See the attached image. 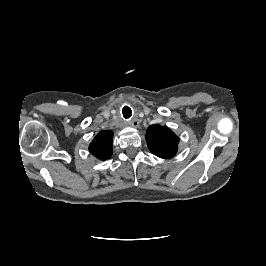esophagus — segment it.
I'll return each instance as SVG.
<instances>
[{
  "label": "esophagus",
  "instance_id": "obj_1",
  "mask_svg": "<svg viewBox=\"0 0 266 266\" xmlns=\"http://www.w3.org/2000/svg\"><path fill=\"white\" fill-rule=\"evenodd\" d=\"M129 124L135 128L139 127V121L137 119H133L132 121L129 122Z\"/></svg>",
  "mask_w": 266,
  "mask_h": 266
}]
</instances>
